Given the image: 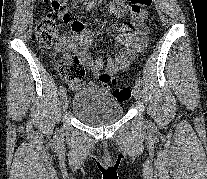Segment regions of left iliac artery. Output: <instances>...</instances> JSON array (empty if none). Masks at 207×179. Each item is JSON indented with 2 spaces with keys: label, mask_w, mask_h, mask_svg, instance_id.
Segmentation results:
<instances>
[{
  "label": "left iliac artery",
  "mask_w": 207,
  "mask_h": 179,
  "mask_svg": "<svg viewBox=\"0 0 207 179\" xmlns=\"http://www.w3.org/2000/svg\"><path fill=\"white\" fill-rule=\"evenodd\" d=\"M136 84L139 86L142 85V79L140 77L136 79Z\"/></svg>",
  "instance_id": "obj_1"
}]
</instances>
